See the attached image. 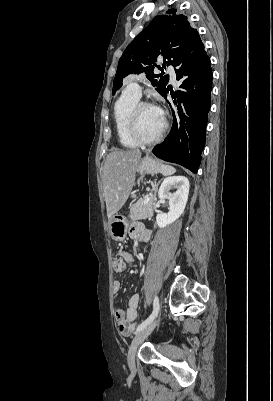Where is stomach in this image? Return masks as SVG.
<instances>
[{
	"instance_id": "1",
	"label": "stomach",
	"mask_w": 273,
	"mask_h": 401,
	"mask_svg": "<svg viewBox=\"0 0 273 401\" xmlns=\"http://www.w3.org/2000/svg\"><path fill=\"white\" fill-rule=\"evenodd\" d=\"M161 164L156 158H152L150 154H146L141 158L138 166L139 174H157L160 172ZM129 227V221L123 215H113L109 219L110 237L113 241H124Z\"/></svg>"
}]
</instances>
